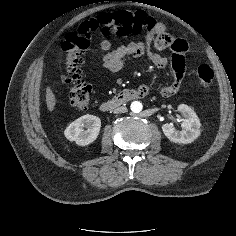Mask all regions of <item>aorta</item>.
<instances>
[{"mask_svg":"<svg viewBox=\"0 0 236 236\" xmlns=\"http://www.w3.org/2000/svg\"><path fill=\"white\" fill-rule=\"evenodd\" d=\"M130 108H131V111H132L133 113H139V112L142 111L143 105H142V103L139 102V101H133V102L131 103Z\"/></svg>","mask_w":236,"mask_h":236,"instance_id":"aorta-1","label":"aorta"}]
</instances>
